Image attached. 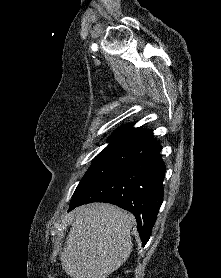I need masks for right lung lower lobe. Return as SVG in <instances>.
I'll use <instances>...</instances> for the list:
<instances>
[{"label":"right lung lower lobe","instance_id":"1","mask_svg":"<svg viewBox=\"0 0 221 278\" xmlns=\"http://www.w3.org/2000/svg\"><path fill=\"white\" fill-rule=\"evenodd\" d=\"M159 144L136 148L134 158L93 186L69 210L91 202H108L134 214L142 246L150 238L163 202L165 164Z\"/></svg>","mask_w":221,"mask_h":278}]
</instances>
